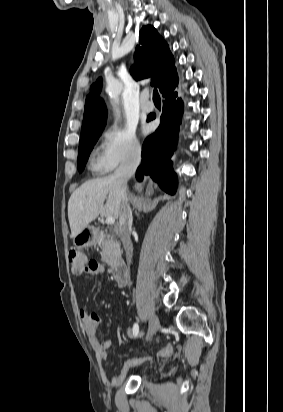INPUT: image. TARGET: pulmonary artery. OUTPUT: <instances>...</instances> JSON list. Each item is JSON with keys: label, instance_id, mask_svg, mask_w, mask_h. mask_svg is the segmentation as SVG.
<instances>
[{"label": "pulmonary artery", "instance_id": "obj_1", "mask_svg": "<svg viewBox=\"0 0 283 412\" xmlns=\"http://www.w3.org/2000/svg\"><path fill=\"white\" fill-rule=\"evenodd\" d=\"M141 110L146 113L153 110V105L148 101L147 95H142L141 97Z\"/></svg>", "mask_w": 283, "mask_h": 412}]
</instances>
